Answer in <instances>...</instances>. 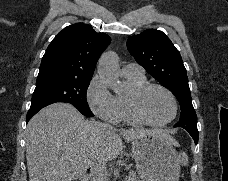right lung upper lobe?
Listing matches in <instances>:
<instances>
[{"label":"right lung upper lobe","mask_w":228,"mask_h":181,"mask_svg":"<svg viewBox=\"0 0 228 181\" xmlns=\"http://www.w3.org/2000/svg\"><path fill=\"white\" fill-rule=\"evenodd\" d=\"M110 37L97 33L90 25L76 23L59 32L48 46L38 77L59 75L91 79L95 65Z\"/></svg>","instance_id":"right-lung-upper-lobe-1"}]
</instances>
